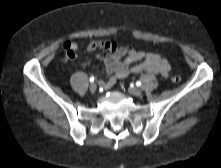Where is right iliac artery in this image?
I'll use <instances>...</instances> for the list:
<instances>
[{"label":"right iliac artery","instance_id":"1","mask_svg":"<svg viewBox=\"0 0 221 168\" xmlns=\"http://www.w3.org/2000/svg\"><path fill=\"white\" fill-rule=\"evenodd\" d=\"M94 80H95V78L92 76V77H90V79H89V81L91 82V83H93L94 82Z\"/></svg>","mask_w":221,"mask_h":168}]
</instances>
